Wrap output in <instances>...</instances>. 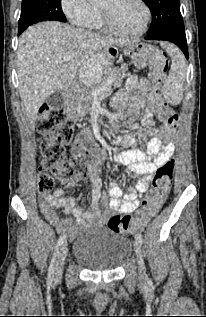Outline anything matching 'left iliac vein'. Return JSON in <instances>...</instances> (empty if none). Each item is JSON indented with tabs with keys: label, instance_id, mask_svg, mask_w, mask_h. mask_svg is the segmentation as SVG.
Returning a JSON list of instances; mask_svg holds the SVG:
<instances>
[{
	"label": "left iliac vein",
	"instance_id": "obj_1",
	"mask_svg": "<svg viewBox=\"0 0 206 317\" xmlns=\"http://www.w3.org/2000/svg\"><path fill=\"white\" fill-rule=\"evenodd\" d=\"M134 249L137 259L138 271H139V278L144 280L146 279V269L143 261V253L141 248V243L138 240L134 241Z\"/></svg>",
	"mask_w": 206,
	"mask_h": 317
}]
</instances>
